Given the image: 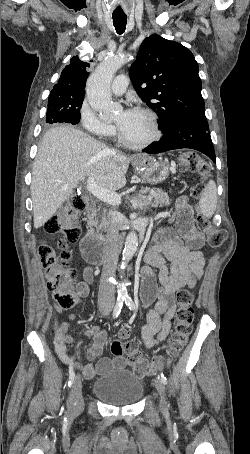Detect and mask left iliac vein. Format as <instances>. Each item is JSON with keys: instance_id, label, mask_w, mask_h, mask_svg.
I'll use <instances>...</instances> for the list:
<instances>
[{"instance_id": "1", "label": "left iliac vein", "mask_w": 250, "mask_h": 454, "mask_svg": "<svg viewBox=\"0 0 250 454\" xmlns=\"http://www.w3.org/2000/svg\"><path fill=\"white\" fill-rule=\"evenodd\" d=\"M155 388L160 394V408L163 412H166L168 407H167V401L165 398V387L162 383V381L159 378H156L154 381Z\"/></svg>"}]
</instances>
